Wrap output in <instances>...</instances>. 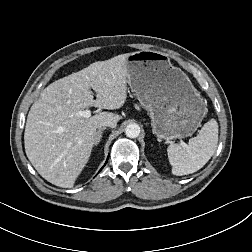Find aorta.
I'll return each instance as SVG.
<instances>
[{
  "instance_id": "obj_1",
  "label": "aorta",
  "mask_w": 252,
  "mask_h": 252,
  "mask_svg": "<svg viewBox=\"0 0 252 252\" xmlns=\"http://www.w3.org/2000/svg\"><path fill=\"white\" fill-rule=\"evenodd\" d=\"M125 134L129 138H137L140 135V127L138 124L131 123L125 128Z\"/></svg>"
}]
</instances>
